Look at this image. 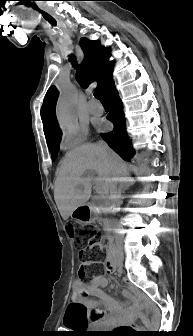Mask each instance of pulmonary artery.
Wrapping results in <instances>:
<instances>
[{"instance_id":"e3ab8cb5","label":"pulmonary artery","mask_w":193,"mask_h":336,"mask_svg":"<svg viewBox=\"0 0 193 336\" xmlns=\"http://www.w3.org/2000/svg\"><path fill=\"white\" fill-rule=\"evenodd\" d=\"M87 110L93 115H99L103 113L102 105L94 99L89 100L87 103Z\"/></svg>"}]
</instances>
